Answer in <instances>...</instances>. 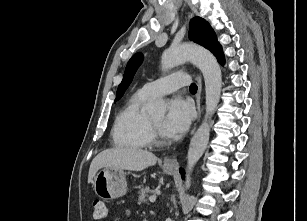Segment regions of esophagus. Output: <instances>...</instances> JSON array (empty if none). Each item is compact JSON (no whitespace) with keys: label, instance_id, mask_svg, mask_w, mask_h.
Segmentation results:
<instances>
[{"label":"esophagus","instance_id":"1","mask_svg":"<svg viewBox=\"0 0 307 221\" xmlns=\"http://www.w3.org/2000/svg\"><path fill=\"white\" fill-rule=\"evenodd\" d=\"M197 80H198V91H197V95H196V104H197V112H198V118L197 121H199L200 116H201V106H200V94H201V79L200 76H197ZM196 125V124H195ZM195 129V126L193 128V130ZM164 166L169 167V168H176L178 166V161L176 158H166L164 160Z\"/></svg>","mask_w":307,"mask_h":221}]
</instances>
